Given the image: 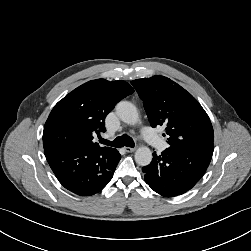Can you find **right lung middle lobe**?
<instances>
[{
  "mask_svg": "<svg viewBox=\"0 0 251 251\" xmlns=\"http://www.w3.org/2000/svg\"><path fill=\"white\" fill-rule=\"evenodd\" d=\"M49 144L52 148H73L75 144L74 135L65 127H57L49 132Z\"/></svg>",
  "mask_w": 251,
  "mask_h": 251,
  "instance_id": "obj_1",
  "label": "right lung middle lobe"
}]
</instances>
